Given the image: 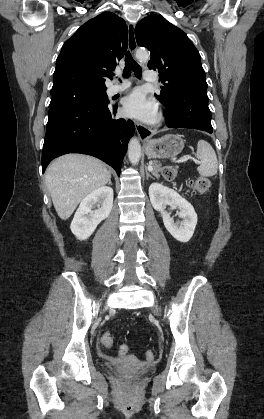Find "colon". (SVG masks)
Listing matches in <instances>:
<instances>
[{
	"label": "colon",
	"instance_id": "1",
	"mask_svg": "<svg viewBox=\"0 0 264 419\" xmlns=\"http://www.w3.org/2000/svg\"><path fill=\"white\" fill-rule=\"evenodd\" d=\"M178 173H179V168H178L177 165H167L162 170L163 177L168 181H171V180L175 179L177 177ZM190 186L195 191L200 192V193H204V192L208 191V189L210 188V180L206 177L201 176V177H198L195 180L191 181ZM101 341H102V344L106 348H110L113 344L112 335L110 333H105L102 336ZM123 352L128 353V347L126 345L123 348ZM145 357L148 361H152L155 357V354H154L153 351L148 350L145 353Z\"/></svg>",
	"mask_w": 264,
	"mask_h": 419
}]
</instances>
